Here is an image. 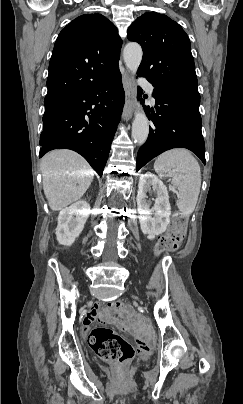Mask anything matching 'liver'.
<instances>
[{
	"label": "liver",
	"mask_w": 243,
	"mask_h": 404,
	"mask_svg": "<svg viewBox=\"0 0 243 404\" xmlns=\"http://www.w3.org/2000/svg\"><path fill=\"white\" fill-rule=\"evenodd\" d=\"M43 190L51 210H63L78 202L88 190L94 170L71 150H53L41 160Z\"/></svg>",
	"instance_id": "1"
}]
</instances>
